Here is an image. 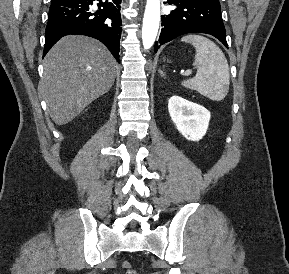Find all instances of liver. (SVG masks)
Here are the masks:
<instances>
[{"instance_id":"obj_1","label":"liver","mask_w":289,"mask_h":274,"mask_svg":"<svg viewBox=\"0 0 289 274\" xmlns=\"http://www.w3.org/2000/svg\"><path fill=\"white\" fill-rule=\"evenodd\" d=\"M117 63L98 40L69 35L48 52L39 91L57 125L75 119L114 84Z\"/></svg>"}]
</instances>
